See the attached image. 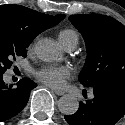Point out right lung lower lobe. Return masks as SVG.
Returning <instances> with one entry per match:
<instances>
[{
    "label": "right lung lower lobe",
    "mask_w": 125,
    "mask_h": 125,
    "mask_svg": "<svg viewBox=\"0 0 125 125\" xmlns=\"http://www.w3.org/2000/svg\"><path fill=\"white\" fill-rule=\"evenodd\" d=\"M35 87L32 80L23 78L16 88H12L5 84L3 74H0V122L17 115L26 106L30 91Z\"/></svg>",
    "instance_id": "1"
}]
</instances>
